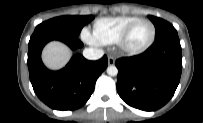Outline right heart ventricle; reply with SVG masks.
Here are the masks:
<instances>
[{
    "label": "right heart ventricle",
    "instance_id": "right-heart-ventricle-1",
    "mask_svg": "<svg viewBox=\"0 0 203 123\" xmlns=\"http://www.w3.org/2000/svg\"><path fill=\"white\" fill-rule=\"evenodd\" d=\"M138 19L140 18L137 16H116L97 19L93 25V35L100 44H114L126 27Z\"/></svg>",
    "mask_w": 203,
    "mask_h": 123
}]
</instances>
